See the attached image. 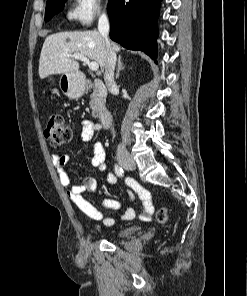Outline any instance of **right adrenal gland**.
<instances>
[{"label": "right adrenal gland", "instance_id": "2a0ac1e0", "mask_svg": "<svg viewBox=\"0 0 247 296\" xmlns=\"http://www.w3.org/2000/svg\"><path fill=\"white\" fill-rule=\"evenodd\" d=\"M121 59H122V57H121V55H119V57H118L117 72H116V76H115L116 79L119 78L120 71L125 68V66H123V63H122V60Z\"/></svg>", "mask_w": 247, "mask_h": 296}]
</instances>
